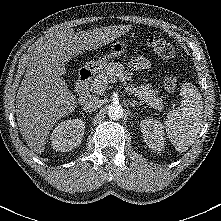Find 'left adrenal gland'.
Segmentation results:
<instances>
[{
	"instance_id": "left-adrenal-gland-1",
	"label": "left adrenal gland",
	"mask_w": 221,
	"mask_h": 221,
	"mask_svg": "<svg viewBox=\"0 0 221 221\" xmlns=\"http://www.w3.org/2000/svg\"><path fill=\"white\" fill-rule=\"evenodd\" d=\"M129 104L132 107H136L137 105H141V102L133 100V101H129Z\"/></svg>"
}]
</instances>
